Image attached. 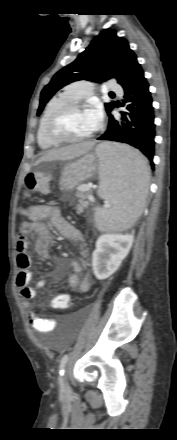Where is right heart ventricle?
<instances>
[{
    "mask_svg": "<svg viewBox=\"0 0 177 440\" xmlns=\"http://www.w3.org/2000/svg\"><path fill=\"white\" fill-rule=\"evenodd\" d=\"M75 99L68 93L67 90H64L55 96H53L48 103L46 104L43 113L40 117L38 128H37V141L39 146L42 149H50L56 147L58 143L53 142L45 132L46 124L52 114L57 111L62 106L74 102Z\"/></svg>",
    "mask_w": 177,
    "mask_h": 440,
    "instance_id": "e07e8e85",
    "label": "right heart ventricle"
}]
</instances>
